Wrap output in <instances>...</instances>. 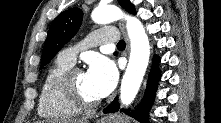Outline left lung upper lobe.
I'll return each mask as SVG.
<instances>
[{
	"instance_id": "5c2ea615",
	"label": "left lung upper lobe",
	"mask_w": 221,
	"mask_h": 123,
	"mask_svg": "<svg viewBox=\"0 0 221 123\" xmlns=\"http://www.w3.org/2000/svg\"><path fill=\"white\" fill-rule=\"evenodd\" d=\"M129 13L136 14L135 6L130 0H118ZM83 18L79 8H71L60 13L50 26L43 48L41 68L49 63L57 52L77 33Z\"/></svg>"
}]
</instances>
